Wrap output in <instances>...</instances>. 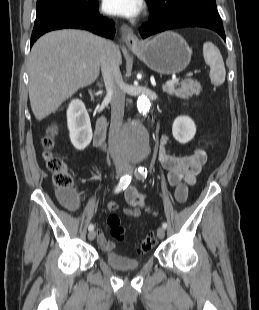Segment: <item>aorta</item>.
Masks as SVG:
<instances>
[{"mask_svg":"<svg viewBox=\"0 0 259 310\" xmlns=\"http://www.w3.org/2000/svg\"><path fill=\"white\" fill-rule=\"evenodd\" d=\"M151 109V101L146 96H139L137 110L141 115H147ZM120 149L128 158L141 160L149 153V134L141 122L128 124L121 132Z\"/></svg>","mask_w":259,"mask_h":310,"instance_id":"762f6f07","label":"aorta"}]
</instances>
